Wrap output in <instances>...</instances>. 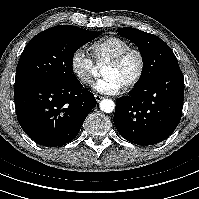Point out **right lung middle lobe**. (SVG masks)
Instances as JSON below:
<instances>
[{"mask_svg":"<svg viewBox=\"0 0 199 199\" xmlns=\"http://www.w3.org/2000/svg\"><path fill=\"white\" fill-rule=\"evenodd\" d=\"M98 36L76 26L59 25L40 32L31 39L21 54L15 83L32 79L72 81V59L84 44Z\"/></svg>","mask_w":199,"mask_h":199,"instance_id":"right-lung-middle-lobe-1","label":"right lung middle lobe"}]
</instances>
